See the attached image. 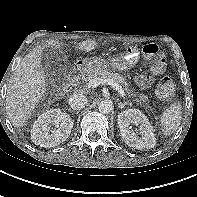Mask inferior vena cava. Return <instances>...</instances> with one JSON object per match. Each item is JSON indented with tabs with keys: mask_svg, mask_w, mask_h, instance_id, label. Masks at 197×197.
Segmentation results:
<instances>
[{
	"mask_svg": "<svg viewBox=\"0 0 197 197\" xmlns=\"http://www.w3.org/2000/svg\"><path fill=\"white\" fill-rule=\"evenodd\" d=\"M86 104H87V98L82 93L73 94L69 98V105L73 110H80L84 108Z\"/></svg>",
	"mask_w": 197,
	"mask_h": 197,
	"instance_id": "1",
	"label": "inferior vena cava"
}]
</instances>
